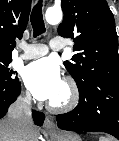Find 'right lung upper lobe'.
Segmentation results:
<instances>
[{"instance_id": "cb5924a9", "label": "right lung upper lobe", "mask_w": 119, "mask_h": 141, "mask_svg": "<svg viewBox=\"0 0 119 141\" xmlns=\"http://www.w3.org/2000/svg\"><path fill=\"white\" fill-rule=\"evenodd\" d=\"M31 9V0H0V58L12 57L15 39L21 38Z\"/></svg>"}]
</instances>
